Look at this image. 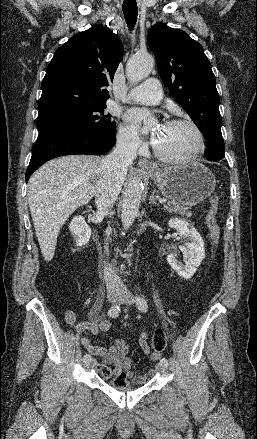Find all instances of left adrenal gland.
<instances>
[{
    "instance_id": "left-adrenal-gland-1",
    "label": "left adrenal gland",
    "mask_w": 257,
    "mask_h": 439,
    "mask_svg": "<svg viewBox=\"0 0 257 439\" xmlns=\"http://www.w3.org/2000/svg\"><path fill=\"white\" fill-rule=\"evenodd\" d=\"M151 203H153L155 205H159V203L155 199V190L152 192V194L150 195V198H149V204H151Z\"/></svg>"
}]
</instances>
